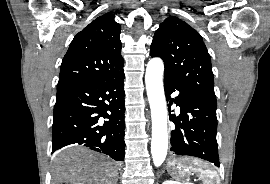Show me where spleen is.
I'll use <instances>...</instances> for the list:
<instances>
[{
    "instance_id": "1",
    "label": "spleen",
    "mask_w": 270,
    "mask_h": 184,
    "mask_svg": "<svg viewBox=\"0 0 270 184\" xmlns=\"http://www.w3.org/2000/svg\"><path fill=\"white\" fill-rule=\"evenodd\" d=\"M186 159H182V165L187 168L190 172H194L196 173L200 179L202 180L203 184H220L219 183V177L216 171H214L213 169L209 168L207 165H205L204 163L198 162V163H194L191 165H187L185 163ZM182 175L185 177V179H188L187 176V172L183 171ZM177 180H179L177 178ZM181 184H193L190 182H185V183H181Z\"/></svg>"
}]
</instances>
